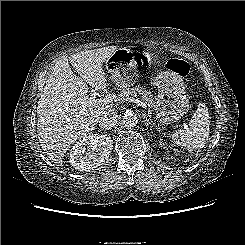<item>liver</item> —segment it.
Segmentation results:
<instances>
[{"label":"liver","mask_w":245,"mask_h":245,"mask_svg":"<svg viewBox=\"0 0 245 245\" xmlns=\"http://www.w3.org/2000/svg\"><path fill=\"white\" fill-rule=\"evenodd\" d=\"M116 46L81 51L56 61L49 74L37 106V133L40 145L57 166L71 145L95 130L101 117L114 112V96L108 94L92 103L88 84L96 90L108 84L102 64ZM70 64L78 72L73 74Z\"/></svg>","instance_id":"1"}]
</instances>
